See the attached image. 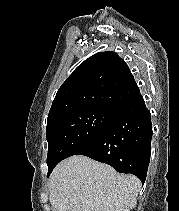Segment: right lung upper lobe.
<instances>
[{"label": "right lung upper lobe", "mask_w": 179, "mask_h": 211, "mask_svg": "<svg viewBox=\"0 0 179 211\" xmlns=\"http://www.w3.org/2000/svg\"><path fill=\"white\" fill-rule=\"evenodd\" d=\"M139 92L127 64L115 52H100L81 63L59 88L47 124L73 112L117 110Z\"/></svg>", "instance_id": "1"}]
</instances>
